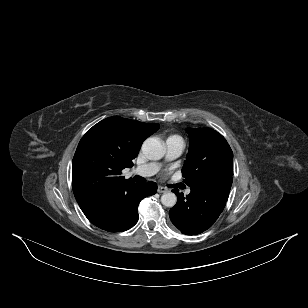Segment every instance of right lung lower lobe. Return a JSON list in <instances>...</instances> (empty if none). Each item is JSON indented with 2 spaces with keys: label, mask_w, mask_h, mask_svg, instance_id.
<instances>
[{
  "label": "right lung lower lobe",
  "mask_w": 308,
  "mask_h": 308,
  "mask_svg": "<svg viewBox=\"0 0 308 308\" xmlns=\"http://www.w3.org/2000/svg\"><path fill=\"white\" fill-rule=\"evenodd\" d=\"M157 185L154 182L134 184L113 204L97 211L84 213L95 226L108 232H122L133 227L138 221L140 201L155 194Z\"/></svg>",
  "instance_id": "right-lung-lower-lobe-1"
}]
</instances>
